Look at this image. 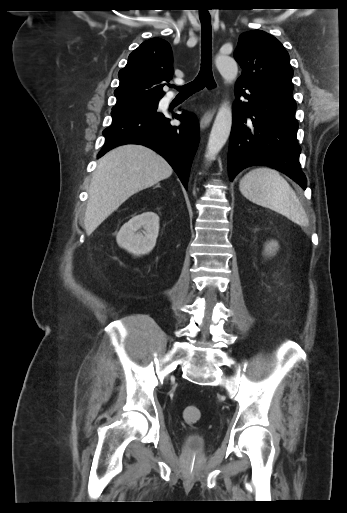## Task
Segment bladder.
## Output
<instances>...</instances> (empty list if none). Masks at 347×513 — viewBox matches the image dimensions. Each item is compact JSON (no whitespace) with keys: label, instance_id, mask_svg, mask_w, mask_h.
<instances>
[{"label":"bladder","instance_id":"bladder-1","mask_svg":"<svg viewBox=\"0 0 347 513\" xmlns=\"http://www.w3.org/2000/svg\"><path fill=\"white\" fill-rule=\"evenodd\" d=\"M184 447L190 452H202L206 447V439L199 434H188L184 441Z\"/></svg>","mask_w":347,"mask_h":513}]
</instances>
